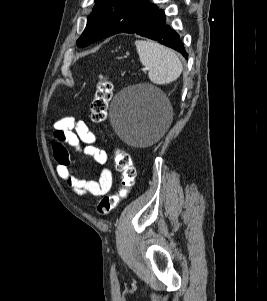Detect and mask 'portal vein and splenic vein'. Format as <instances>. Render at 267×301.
<instances>
[{
  "label": "portal vein and splenic vein",
  "instance_id": "portal-vein-and-splenic-vein-1",
  "mask_svg": "<svg viewBox=\"0 0 267 301\" xmlns=\"http://www.w3.org/2000/svg\"><path fill=\"white\" fill-rule=\"evenodd\" d=\"M142 70H143V71H147V70H148V68H143Z\"/></svg>",
  "mask_w": 267,
  "mask_h": 301
}]
</instances>
